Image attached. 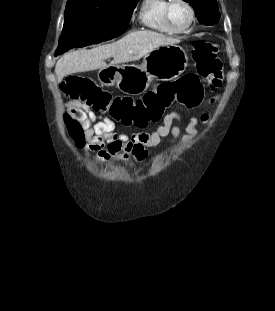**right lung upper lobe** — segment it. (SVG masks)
Segmentation results:
<instances>
[{
  "label": "right lung upper lobe",
  "mask_w": 275,
  "mask_h": 311,
  "mask_svg": "<svg viewBox=\"0 0 275 311\" xmlns=\"http://www.w3.org/2000/svg\"><path fill=\"white\" fill-rule=\"evenodd\" d=\"M69 1H85V0H69Z\"/></svg>",
  "instance_id": "cb5924a9"
}]
</instances>
